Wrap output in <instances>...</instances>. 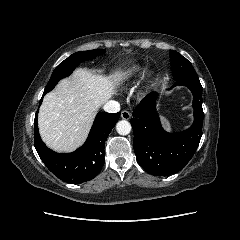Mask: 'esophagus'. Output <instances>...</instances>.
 Masks as SVG:
<instances>
[{
  "instance_id": "34e87169",
  "label": "esophagus",
  "mask_w": 240,
  "mask_h": 240,
  "mask_svg": "<svg viewBox=\"0 0 240 240\" xmlns=\"http://www.w3.org/2000/svg\"><path fill=\"white\" fill-rule=\"evenodd\" d=\"M121 118L124 120H129L131 118V113L127 110L121 112Z\"/></svg>"
}]
</instances>
